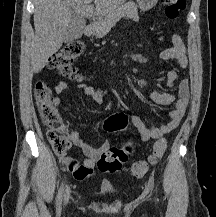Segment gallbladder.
I'll use <instances>...</instances> for the list:
<instances>
[{"label": "gallbladder", "instance_id": "1", "mask_svg": "<svg viewBox=\"0 0 216 217\" xmlns=\"http://www.w3.org/2000/svg\"><path fill=\"white\" fill-rule=\"evenodd\" d=\"M83 28H84L83 22L77 16L74 15L67 28V32L64 37V42L68 43L73 40L81 38L83 34Z\"/></svg>", "mask_w": 216, "mask_h": 217}]
</instances>
